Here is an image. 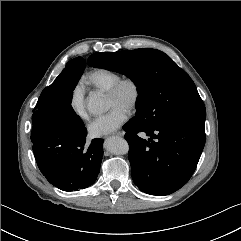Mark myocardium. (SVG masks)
<instances>
[{
	"label": "myocardium",
	"instance_id": "f54148a6",
	"mask_svg": "<svg viewBox=\"0 0 241 241\" xmlns=\"http://www.w3.org/2000/svg\"><path fill=\"white\" fill-rule=\"evenodd\" d=\"M125 85H130L133 90V97L130 105L128 106V111H134L138 105L140 104L141 101V96H142V89L140 82L132 76H125V77H120L108 90H107V95L109 96H117L121 89Z\"/></svg>",
	"mask_w": 241,
	"mask_h": 241
}]
</instances>
